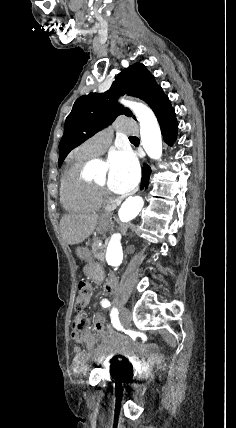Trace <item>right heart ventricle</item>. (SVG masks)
<instances>
[{
  "mask_svg": "<svg viewBox=\"0 0 236 428\" xmlns=\"http://www.w3.org/2000/svg\"><path fill=\"white\" fill-rule=\"evenodd\" d=\"M92 159L84 145L76 149L60 183V197L67 210L95 212L103 205L102 197L93 180L84 175V167Z\"/></svg>",
  "mask_w": 236,
  "mask_h": 428,
  "instance_id": "1",
  "label": "right heart ventricle"
}]
</instances>
